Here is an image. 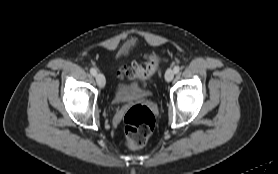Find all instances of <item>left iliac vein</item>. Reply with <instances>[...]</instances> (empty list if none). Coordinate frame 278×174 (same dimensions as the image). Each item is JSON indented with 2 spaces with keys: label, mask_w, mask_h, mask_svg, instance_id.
Wrapping results in <instances>:
<instances>
[{
  "label": "left iliac vein",
  "mask_w": 278,
  "mask_h": 174,
  "mask_svg": "<svg viewBox=\"0 0 278 174\" xmlns=\"http://www.w3.org/2000/svg\"><path fill=\"white\" fill-rule=\"evenodd\" d=\"M174 78V71L170 68L167 69L166 73H165V80L167 82H171Z\"/></svg>",
  "instance_id": "4c4485c4"
}]
</instances>
